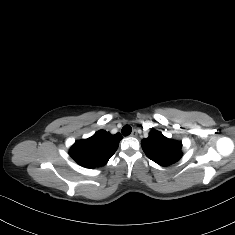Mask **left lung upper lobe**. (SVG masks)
<instances>
[{
  "mask_svg": "<svg viewBox=\"0 0 235 235\" xmlns=\"http://www.w3.org/2000/svg\"><path fill=\"white\" fill-rule=\"evenodd\" d=\"M141 146L146 156L161 166H169L182 157V143L168 139L156 130L141 141Z\"/></svg>",
  "mask_w": 235,
  "mask_h": 235,
  "instance_id": "obj_1",
  "label": "left lung upper lobe"
}]
</instances>
